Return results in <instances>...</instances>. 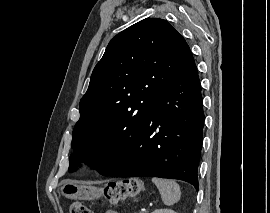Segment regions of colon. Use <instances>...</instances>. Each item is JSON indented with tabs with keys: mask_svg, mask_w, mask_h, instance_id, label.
<instances>
[{
	"mask_svg": "<svg viewBox=\"0 0 270 213\" xmlns=\"http://www.w3.org/2000/svg\"><path fill=\"white\" fill-rule=\"evenodd\" d=\"M142 188V183L138 179H126L118 182H111L105 188V196L112 204L120 200L137 195ZM70 213H92L91 210L82 203H74Z\"/></svg>",
	"mask_w": 270,
	"mask_h": 213,
	"instance_id": "1",
	"label": "colon"
}]
</instances>
